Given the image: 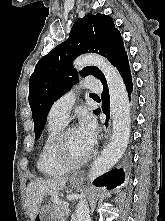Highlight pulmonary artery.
Returning a JSON list of instances; mask_svg holds the SVG:
<instances>
[{
	"mask_svg": "<svg viewBox=\"0 0 165 221\" xmlns=\"http://www.w3.org/2000/svg\"><path fill=\"white\" fill-rule=\"evenodd\" d=\"M83 88L91 91H99L101 86L95 78H88L83 83ZM77 89H72L59 97L52 105L48 118L51 121L67 123L69 113L77 97Z\"/></svg>",
	"mask_w": 165,
	"mask_h": 221,
	"instance_id": "e3ab8cb5",
	"label": "pulmonary artery"
}]
</instances>
